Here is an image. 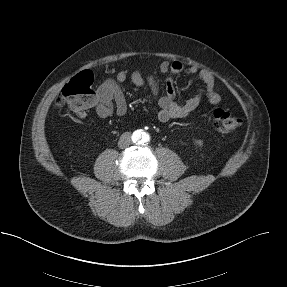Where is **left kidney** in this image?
Returning a JSON list of instances; mask_svg holds the SVG:
<instances>
[{
  "label": "left kidney",
  "mask_w": 287,
  "mask_h": 287,
  "mask_svg": "<svg viewBox=\"0 0 287 287\" xmlns=\"http://www.w3.org/2000/svg\"><path fill=\"white\" fill-rule=\"evenodd\" d=\"M197 144H198V145H202V141H201V140H198V141H197Z\"/></svg>",
  "instance_id": "obj_1"
}]
</instances>
